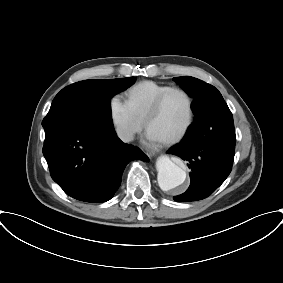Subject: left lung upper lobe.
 <instances>
[{"instance_id": "left-lung-upper-lobe-1", "label": "left lung upper lobe", "mask_w": 283, "mask_h": 283, "mask_svg": "<svg viewBox=\"0 0 283 283\" xmlns=\"http://www.w3.org/2000/svg\"><path fill=\"white\" fill-rule=\"evenodd\" d=\"M173 80L178 83L186 93L193 97L191 104L195 115V121L198 117H207L205 133L206 140L209 143L235 147L236 137L233 123V116L220 92L212 85L205 83L190 76L175 77ZM215 102H224L220 110L213 105Z\"/></svg>"}]
</instances>
